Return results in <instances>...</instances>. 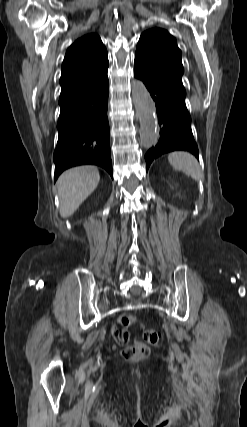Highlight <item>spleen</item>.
I'll return each mask as SVG.
<instances>
[{
	"label": "spleen",
	"instance_id": "spleen-1",
	"mask_svg": "<svg viewBox=\"0 0 247 427\" xmlns=\"http://www.w3.org/2000/svg\"><path fill=\"white\" fill-rule=\"evenodd\" d=\"M168 161L174 170L184 172L195 181H199L203 177L198 161L190 153L182 151L172 152L168 155Z\"/></svg>",
	"mask_w": 247,
	"mask_h": 427
}]
</instances>
